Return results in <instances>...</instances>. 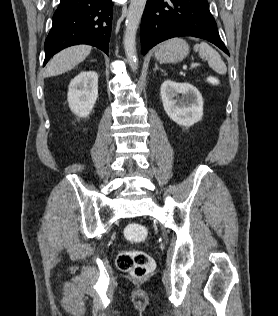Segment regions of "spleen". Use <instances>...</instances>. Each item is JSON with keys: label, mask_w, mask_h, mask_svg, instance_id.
I'll return each mask as SVG.
<instances>
[{"label": "spleen", "mask_w": 278, "mask_h": 316, "mask_svg": "<svg viewBox=\"0 0 278 316\" xmlns=\"http://www.w3.org/2000/svg\"><path fill=\"white\" fill-rule=\"evenodd\" d=\"M194 51L199 53V56L202 59L208 61L209 66L214 69L219 74H225L227 72V68L225 63L222 61L219 53L209 46L205 42H201L200 44H196L194 47Z\"/></svg>", "instance_id": "obj_1"}]
</instances>
